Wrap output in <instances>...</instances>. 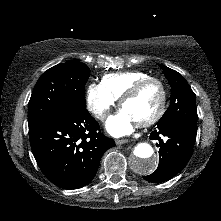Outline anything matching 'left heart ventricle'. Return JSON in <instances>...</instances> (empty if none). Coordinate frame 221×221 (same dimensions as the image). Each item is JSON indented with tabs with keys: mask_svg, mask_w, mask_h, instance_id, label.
I'll return each mask as SVG.
<instances>
[{
	"mask_svg": "<svg viewBox=\"0 0 221 221\" xmlns=\"http://www.w3.org/2000/svg\"><path fill=\"white\" fill-rule=\"evenodd\" d=\"M161 102V90L157 83H149L140 93L127 101L122 110L136 122L144 121L153 116Z\"/></svg>",
	"mask_w": 221,
	"mask_h": 221,
	"instance_id": "1",
	"label": "left heart ventricle"
}]
</instances>
